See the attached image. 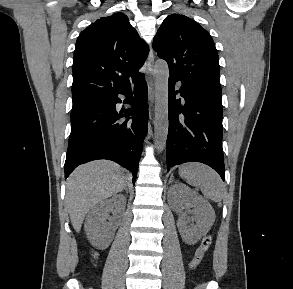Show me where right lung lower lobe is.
<instances>
[{
	"label": "right lung lower lobe",
	"mask_w": 293,
	"mask_h": 289,
	"mask_svg": "<svg viewBox=\"0 0 293 289\" xmlns=\"http://www.w3.org/2000/svg\"><path fill=\"white\" fill-rule=\"evenodd\" d=\"M119 94L128 97L131 108L117 111L116 104L121 102ZM147 96L148 88L142 75L134 83L133 92L129 87L71 115L65 179L82 163L108 159L132 171L135 182L147 132Z\"/></svg>",
	"instance_id": "1"
}]
</instances>
